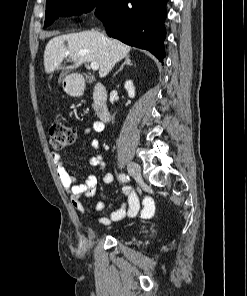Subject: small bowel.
<instances>
[{
  "instance_id": "1",
  "label": "small bowel",
  "mask_w": 247,
  "mask_h": 296,
  "mask_svg": "<svg viewBox=\"0 0 247 296\" xmlns=\"http://www.w3.org/2000/svg\"><path fill=\"white\" fill-rule=\"evenodd\" d=\"M102 130L103 124L100 121H94L86 127L85 134L90 136L92 134L100 133ZM90 145L95 150V154L87 159V163L100 173L105 168V163L101 154L100 141L93 138L90 141ZM51 159L55 165L60 183L69 191L72 205L78 213L83 215H96L97 212L107 206L103 201L97 202L93 206H90L83 201V199L92 198L96 192L98 180L95 174L88 175L83 182H79L65 167V158L62 155L54 152L51 154ZM102 181L105 185H109L113 183L114 177L112 174L107 173L103 176ZM122 192L125 196V201L118 209L111 212L108 216L99 217L98 222L100 224L107 226L113 221L122 219L126 215L133 217L138 213L140 204L136 192L128 186L124 187ZM152 212V202L149 199H146L143 205L142 216L148 218L151 216Z\"/></svg>"
}]
</instances>
